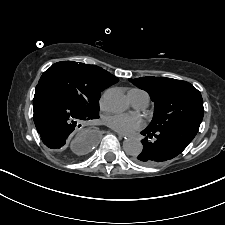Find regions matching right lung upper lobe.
Listing matches in <instances>:
<instances>
[{"label": "right lung upper lobe", "mask_w": 225, "mask_h": 225, "mask_svg": "<svg viewBox=\"0 0 225 225\" xmlns=\"http://www.w3.org/2000/svg\"><path fill=\"white\" fill-rule=\"evenodd\" d=\"M88 71L92 74V76L96 79L98 83L105 86L106 88L117 83L119 80L114 75L105 71L104 69L95 66V65H87L84 64Z\"/></svg>", "instance_id": "cb5924a9"}]
</instances>
